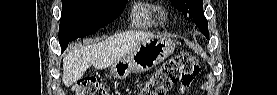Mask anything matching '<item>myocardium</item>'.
<instances>
[{
	"label": "myocardium",
	"mask_w": 277,
	"mask_h": 95,
	"mask_svg": "<svg viewBox=\"0 0 277 95\" xmlns=\"http://www.w3.org/2000/svg\"><path fill=\"white\" fill-rule=\"evenodd\" d=\"M164 15H165V10H164L163 8H158V9L156 10V16H157L158 18H163Z\"/></svg>",
	"instance_id": "1"
}]
</instances>
